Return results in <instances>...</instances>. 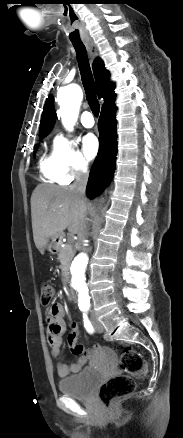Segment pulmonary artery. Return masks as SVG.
<instances>
[{"label":"pulmonary artery","mask_w":183,"mask_h":438,"mask_svg":"<svg viewBox=\"0 0 183 438\" xmlns=\"http://www.w3.org/2000/svg\"><path fill=\"white\" fill-rule=\"evenodd\" d=\"M81 121L84 127L91 128L94 126V118L91 111H84L81 116Z\"/></svg>","instance_id":"pulmonary-artery-1"}]
</instances>
